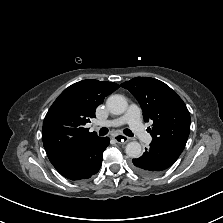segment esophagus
<instances>
[{"label": "esophagus", "mask_w": 223, "mask_h": 223, "mask_svg": "<svg viewBox=\"0 0 223 223\" xmlns=\"http://www.w3.org/2000/svg\"><path fill=\"white\" fill-rule=\"evenodd\" d=\"M113 138L118 142V143H127L129 142V137L122 135V134H115L113 135Z\"/></svg>", "instance_id": "esophagus-1"}]
</instances>
